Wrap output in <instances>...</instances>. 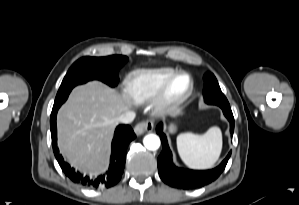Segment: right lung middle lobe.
Wrapping results in <instances>:
<instances>
[{
    "instance_id": "1",
    "label": "right lung middle lobe",
    "mask_w": 299,
    "mask_h": 205,
    "mask_svg": "<svg viewBox=\"0 0 299 205\" xmlns=\"http://www.w3.org/2000/svg\"><path fill=\"white\" fill-rule=\"evenodd\" d=\"M128 60L126 56L83 57L68 70L56 95L54 105L66 101L69 93L78 84L97 79L114 87L117 84V72Z\"/></svg>"
}]
</instances>
